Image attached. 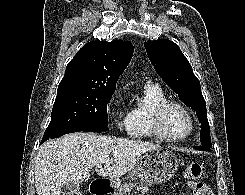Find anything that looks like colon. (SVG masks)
Returning <instances> with one entry per match:
<instances>
[{"label": "colon", "instance_id": "1", "mask_svg": "<svg viewBox=\"0 0 245 195\" xmlns=\"http://www.w3.org/2000/svg\"><path fill=\"white\" fill-rule=\"evenodd\" d=\"M204 170L205 166L203 164L190 165L186 170L192 195H214L210 187L201 179Z\"/></svg>", "mask_w": 245, "mask_h": 195}]
</instances>
